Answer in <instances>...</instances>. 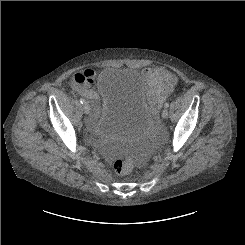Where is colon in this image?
<instances>
[{
  "label": "colon",
  "mask_w": 245,
  "mask_h": 245,
  "mask_svg": "<svg viewBox=\"0 0 245 245\" xmlns=\"http://www.w3.org/2000/svg\"><path fill=\"white\" fill-rule=\"evenodd\" d=\"M88 80V78H79L80 82H84ZM133 159L131 157H120L118 159H116L113 163V169L117 174L120 175H126L129 174L131 172V170L133 169Z\"/></svg>",
  "instance_id": "obj_1"
}]
</instances>
